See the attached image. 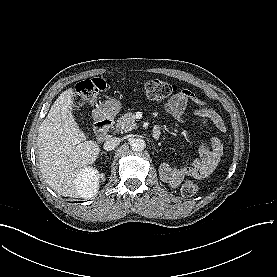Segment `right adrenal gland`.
<instances>
[{"label": "right adrenal gland", "instance_id": "2a0ac1e0", "mask_svg": "<svg viewBox=\"0 0 277 277\" xmlns=\"http://www.w3.org/2000/svg\"><path fill=\"white\" fill-rule=\"evenodd\" d=\"M102 154H107V152H102L101 155H102Z\"/></svg>", "mask_w": 277, "mask_h": 277}]
</instances>
